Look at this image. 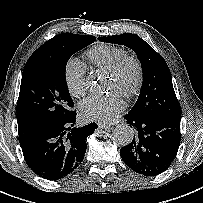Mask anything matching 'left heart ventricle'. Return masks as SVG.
Returning a JSON list of instances; mask_svg holds the SVG:
<instances>
[{
    "mask_svg": "<svg viewBox=\"0 0 203 203\" xmlns=\"http://www.w3.org/2000/svg\"><path fill=\"white\" fill-rule=\"evenodd\" d=\"M134 79V68L131 64L126 65L118 74L112 76L113 88L121 94L130 88Z\"/></svg>",
    "mask_w": 203,
    "mask_h": 203,
    "instance_id": "b2bd125f",
    "label": "left heart ventricle"
}]
</instances>
